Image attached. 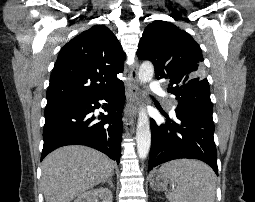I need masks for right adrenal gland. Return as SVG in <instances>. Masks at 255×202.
<instances>
[{
  "mask_svg": "<svg viewBox=\"0 0 255 202\" xmlns=\"http://www.w3.org/2000/svg\"><path fill=\"white\" fill-rule=\"evenodd\" d=\"M105 183H108V185H109V187H110L111 189H115L114 184H113V182H112V176L109 177V179H107L106 181L102 182V184H105Z\"/></svg>",
  "mask_w": 255,
  "mask_h": 202,
  "instance_id": "2a0ac1e0",
  "label": "right adrenal gland"
}]
</instances>
